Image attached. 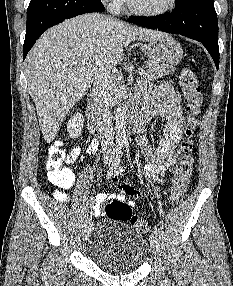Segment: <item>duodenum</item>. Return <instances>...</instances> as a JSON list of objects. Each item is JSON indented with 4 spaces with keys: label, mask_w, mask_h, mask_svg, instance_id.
Wrapping results in <instances>:
<instances>
[{
    "label": "duodenum",
    "mask_w": 233,
    "mask_h": 286,
    "mask_svg": "<svg viewBox=\"0 0 233 286\" xmlns=\"http://www.w3.org/2000/svg\"><path fill=\"white\" fill-rule=\"evenodd\" d=\"M90 130L93 132H101L104 129L103 121L98 113L95 93H92L87 102L86 108ZM128 122L136 124L137 126L141 125L144 120V115L142 110L137 104H132L128 110Z\"/></svg>",
    "instance_id": "duodenum-1"
}]
</instances>
